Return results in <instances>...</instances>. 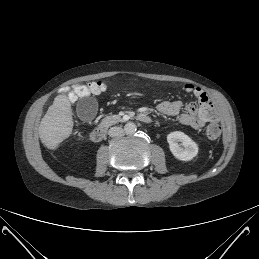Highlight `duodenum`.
<instances>
[{
	"instance_id": "1",
	"label": "duodenum",
	"mask_w": 259,
	"mask_h": 259,
	"mask_svg": "<svg viewBox=\"0 0 259 259\" xmlns=\"http://www.w3.org/2000/svg\"><path fill=\"white\" fill-rule=\"evenodd\" d=\"M138 120L142 123L149 124L152 119L148 115H140ZM107 133V127L105 125H101L96 127L90 134L91 140L94 142H100L104 139Z\"/></svg>"
}]
</instances>
